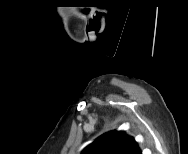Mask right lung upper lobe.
I'll return each mask as SVG.
<instances>
[{
	"instance_id": "obj_1",
	"label": "right lung upper lobe",
	"mask_w": 188,
	"mask_h": 154,
	"mask_svg": "<svg viewBox=\"0 0 188 154\" xmlns=\"http://www.w3.org/2000/svg\"><path fill=\"white\" fill-rule=\"evenodd\" d=\"M82 154H142L136 141L123 131L103 134L88 145Z\"/></svg>"
}]
</instances>
